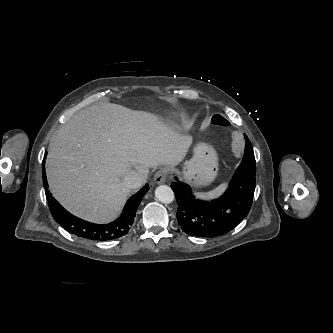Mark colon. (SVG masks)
I'll return each mask as SVG.
<instances>
[{
  "mask_svg": "<svg viewBox=\"0 0 333 333\" xmlns=\"http://www.w3.org/2000/svg\"><path fill=\"white\" fill-rule=\"evenodd\" d=\"M211 123L219 127H224L228 125L227 120L219 114H215L211 117Z\"/></svg>",
  "mask_w": 333,
  "mask_h": 333,
  "instance_id": "colon-1",
  "label": "colon"
}]
</instances>
